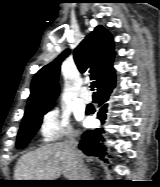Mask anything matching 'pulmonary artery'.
<instances>
[{
	"mask_svg": "<svg viewBox=\"0 0 160 187\" xmlns=\"http://www.w3.org/2000/svg\"><path fill=\"white\" fill-rule=\"evenodd\" d=\"M80 98H81L82 102H84V103H90L92 100L91 95L88 93H85V92H82L80 94Z\"/></svg>",
	"mask_w": 160,
	"mask_h": 187,
	"instance_id": "1",
	"label": "pulmonary artery"
}]
</instances>
